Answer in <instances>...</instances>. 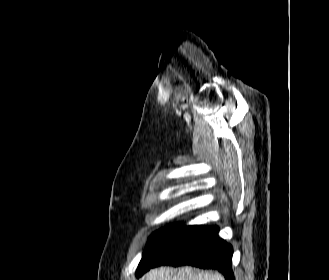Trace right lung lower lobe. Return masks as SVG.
<instances>
[{
    "label": "right lung lower lobe",
    "instance_id": "1",
    "mask_svg": "<svg viewBox=\"0 0 329 280\" xmlns=\"http://www.w3.org/2000/svg\"><path fill=\"white\" fill-rule=\"evenodd\" d=\"M218 231L217 226H187L146 271L160 265H192L217 269L225 280H235L231 270L232 246L219 238Z\"/></svg>",
    "mask_w": 329,
    "mask_h": 280
}]
</instances>
